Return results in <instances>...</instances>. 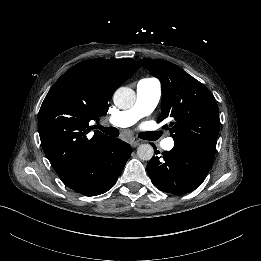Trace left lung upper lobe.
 Here are the masks:
<instances>
[{
	"mask_svg": "<svg viewBox=\"0 0 261 261\" xmlns=\"http://www.w3.org/2000/svg\"><path fill=\"white\" fill-rule=\"evenodd\" d=\"M140 64L162 84V116L173 118L174 142H201L216 148L220 129L218 106L212 93L178 66L161 59H143Z\"/></svg>",
	"mask_w": 261,
	"mask_h": 261,
	"instance_id": "obj_1",
	"label": "left lung upper lobe"
}]
</instances>
